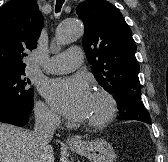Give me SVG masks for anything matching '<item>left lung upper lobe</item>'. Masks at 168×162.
<instances>
[{
  "mask_svg": "<svg viewBox=\"0 0 168 162\" xmlns=\"http://www.w3.org/2000/svg\"><path fill=\"white\" fill-rule=\"evenodd\" d=\"M76 12L85 26L83 48L98 83L118 104L141 101L136 45L121 12L106 0H87Z\"/></svg>",
  "mask_w": 168,
  "mask_h": 162,
  "instance_id": "obj_1",
  "label": "left lung upper lobe"
}]
</instances>
